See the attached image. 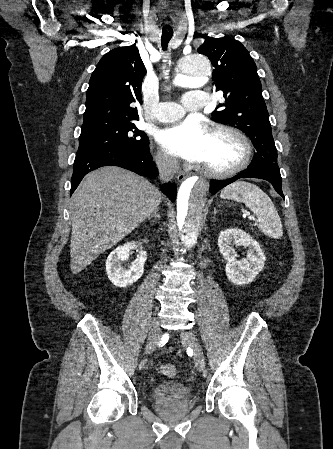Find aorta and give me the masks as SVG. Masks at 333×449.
<instances>
[{
    "label": "aorta",
    "instance_id": "obj_1",
    "mask_svg": "<svg viewBox=\"0 0 333 449\" xmlns=\"http://www.w3.org/2000/svg\"><path fill=\"white\" fill-rule=\"evenodd\" d=\"M211 74V63L207 56L192 53L180 60V68L175 80L180 86L198 88L206 83ZM208 190L209 181L196 176L186 178L178 189L179 237L188 247L193 246L197 241Z\"/></svg>",
    "mask_w": 333,
    "mask_h": 449
}]
</instances>
